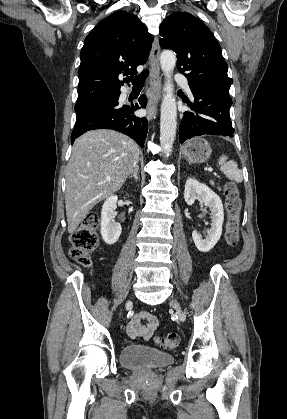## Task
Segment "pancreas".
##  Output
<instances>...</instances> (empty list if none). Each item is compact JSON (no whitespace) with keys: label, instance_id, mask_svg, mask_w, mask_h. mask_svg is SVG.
Returning a JSON list of instances; mask_svg holds the SVG:
<instances>
[{"label":"pancreas","instance_id":"1","mask_svg":"<svg viewBox=\"0 0 287 419\" xmlns=\"http://www.w3.org/2000/svg\"><path fill=\"white\" fill-rule=\"evenodd\" d=\"M210 183H211L212 186H214V182L213 181H210Z\"/></svg>","mask_w":287,"mask_h":419}]
</instances>
